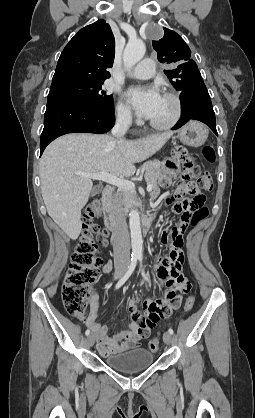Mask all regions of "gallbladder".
<instances>
[{
	"label": "gallbladder",
	"instance_id": "obj_1",
	"mask_svg": "<svg viewBox=\"0 0 255 418\" xmlns=\"http://www.w3.org/2000/svg\"><path fill=\"white\" fill-rule=\"evenodd\" d=\"M101 191H102L101 186H95V187L92 188L91 196H95V195L99 194Z\"/></svg>",
	"mask_w": 255,
	"mask_h": 418
}]
</instances>
